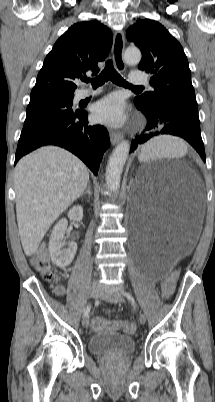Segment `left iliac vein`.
Masks as SVG:
<instances>
[{
	"label": "left iliac vein",
	"instance_id": "left-iliac-vein-1",
	"mask_svg": "<svg viewBox=\"0 0 215 402\" xmlns=\"http://www.w3.org/2000/svg\"><path fill=\"white\" fill-rule=\"evenodd\" d=\"M100 296L108 302L120 304L124 301L123 296L119 292H110L107 290H102ZM139 321L141 324H145L146 317L144 314H140Z\"/></svg>",
	"mask_w": 215,
	"mask_h": 402
}]
</instances>
